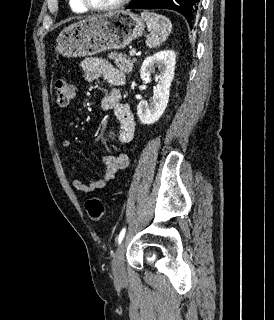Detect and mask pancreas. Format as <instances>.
<instances>
[{"instance_id": "pancreas-1", "label": "pancreas", "mask_w": 274, "mask_h": 320, "mask_svg": "<svg viewBox=\"0 0 274 320\" xmlns=\"http://www.w3.org/2000/svg\"><path fill=\"white\" fill-rule=\"evenodd\" d=\"M109 58L111 60H115L114 64H116L117 68L121 70V72H132V68L136 62V58H127V56H123V54H118V52H112L109 54Z\"/></svg>"}]
</instances>
